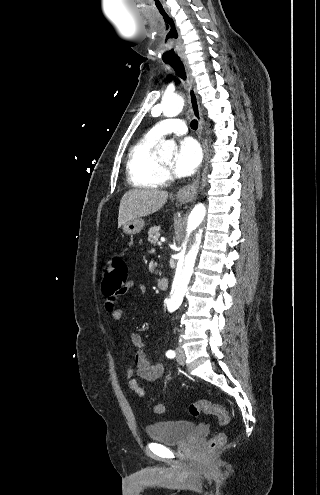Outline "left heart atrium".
Returning a JSON list of instances; mask_svg holds the SVG:
<instances>
[{
	"label": "left heart atrium",
	"instance_id": "1",
	"mask_svg": "<svg viewBox=\"0 0 320 495\" xmlns=\"http://www.w3.org/2000/svg\"><path fill=\"white\" fill-rule=\"evenodd\" d=\"M201 162V149L198 143L190 138L182 140L172 164L174 173L181 177L192 175Z\"/></svg>",
	"mask_w": 320,
	"mask_h": 495
}]
</instances>
